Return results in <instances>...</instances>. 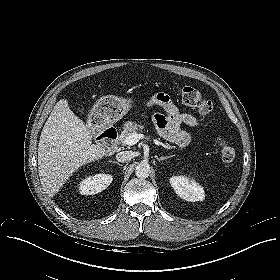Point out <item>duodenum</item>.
<instances>
[{"label":"duodenum","instance_id":"410a0bca","mask_svg":"<svg viewBox=\"0 0 280 280\" xmlns=\"http://www.w3.org/2000/svg\"><path fill=\"white\" fill-rule=\"evenodd\" d=\"M101 135H102V137H104L108 148L112 149L115 147V142L118 137V131L115 126H113V125L107 126L102 131Z\"/></svg>","mask_w":280,"mask_h":280}]
</instances>
